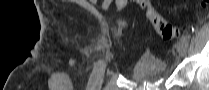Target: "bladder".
<instances>
[{
    "label": "bladder",
    "mask_w": 209,
    "mask_h": 90,
    "mask_svg": "<svg viewBox=\"0 0 209 90\" xmlns=\"http://www.w3.org/2000/svg\"><path fill=\"white\" fill-rule=\"evenodd\" d=\"M166 63L153 56L141 57L131 70V77L136 81H155L164 77Z\"/></svg>",
    "instance_id": "obj_1"
}]
</instances>
